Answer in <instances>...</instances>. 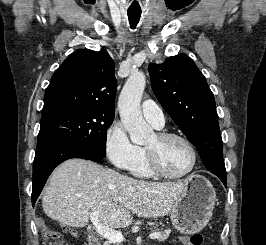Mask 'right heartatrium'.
Masks as SVG:
<instances>
[{
    "mask_svg": "<svg viewBox=\"0 0 266 245\" xmlns=\"http://www.w3.org/2000/svg\"><path fill=\"white\" fill-rule=\"evenodd\" d=\"M104 149L114 166L127 171H132L143 155V150L130 140L119 122H113L107 128Z\"/></svg>",
    "mask_w": 266,
    "mask_h": 245,
    "instance_id": "obj_1",
    "label": "right heart atrium"
}]
</instances>
